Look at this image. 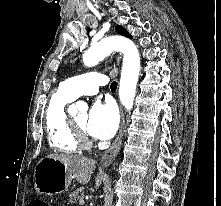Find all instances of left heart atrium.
Segmentation results:
<instances>
[{
    "label": "left heart atrium",
    "mask_w": 221,
    "mask_h": 206,
    "mask_svg": "<svg viewBox=\"0 0 221 206\" xmlns=\"http://www.w3.org/2000/svg\"><path fill=\"white\" fill-rule=\"evenodd\" d=\"M118 124L116 107L110 102H97L89 111L85 128L92 137L105 140L115 134Z\"/></svg>",
    "instance_id": "left-heart-atrium-1"
}]
</instances>
